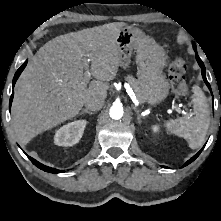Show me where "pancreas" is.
I'll use <instances>...</instances> for the list:
<instances>
[{
  "label": "pancreas",
  "instance_id": "pancreas-1",
  "mask_svg": "<svg viewBox=\"0 0 221 221\" xmlns=\"http://www.w3.org/2000/svg\"><path fill=\"white\" fill-rule=\"evenodd\" d=\"M126 80L128 81V83L131 85V87L134 89L138 99L141 101V94L139 91V86H138V82L135 80V78H133L132 76H128L126 78Z\"/></svg>",
  "mask_w": 221,
  "mask_h": 221
}]
</instances>
